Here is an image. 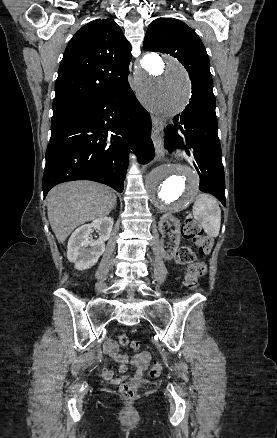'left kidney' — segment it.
I'll list each match as a JSON object with an SVG mask.
<instances>
[{"instance_id": "obj_1", "label": "left kidney", "mask_w": 277, "mask_h": 438, "mask_svg": "<svg viewBox=\"0 0 277 438\" xmlns=\"http://www.w3.org/2000/svg\"><path fill=\"white\" fill-rule=\"evenodd\" d=\"M174 222L175 226H176V230L175 232H173V234H176V240L174 242L175 246L173 248L174 252H172V254H165V252H162V256L164 258V260H172L177 248H179V244L181 242L180 240V222L179 220H177V218H174V216H172V214H163L162 218H160V222H158V230L159 232H161V234H163V224H165V222Z\"/></svg>"}]
</instances>
